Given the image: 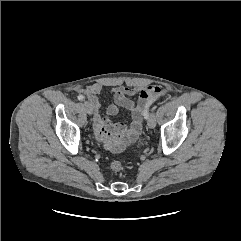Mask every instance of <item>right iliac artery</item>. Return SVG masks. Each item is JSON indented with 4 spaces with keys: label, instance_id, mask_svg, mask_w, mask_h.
Instances as JSON below:
<instances>
[{
    "label": "right iliac artery",
    "instance_id": "82829eb1",
    "mask_svg": "<svg viewBox=\"0 0 241 241\" xmlns=\"http://www.w3.org/2000/svg\"><path fill=\"white\" fill-rule=\"evenodd\" d=\"M84 98H85V97H84L83 95H79V96H78V100H80V101L84 100Z\"/></svg>",
    "mask_w": 241,
    "mask_h": 241
}]
</instances>
